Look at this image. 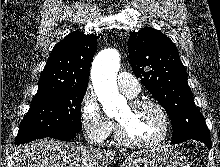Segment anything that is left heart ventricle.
I'll return each mask as SVG.
<instances>
[{
    "label": "left heart ventricle",
    "instance_id": "left-heart-ventricle-1",
    "mask_svg": "<svg viewBox=\"0 0 220 167\" xmlns=\"http://www.w3.org/2000/svg\"><path fill=\"white\" fill-rule=\"evenodd\" d=\"M116 120L134 140L154 139L162 133L164 128L161 114L151 106L133 109L127 105L116 116Z\"/></svg>",
    "mask_w": 220,
    "mask_h": 167
}]
</instances>
